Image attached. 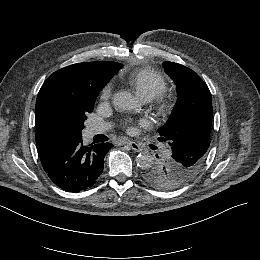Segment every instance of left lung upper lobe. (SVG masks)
<instances>
[{"label":"left lung upper lobe","instance_id":"left-lung-upper-lobe-1","mask_svg":"<svg viewBox=\"0 0 260 260\" xmlns=\"http://www.w3.org/2000/svg\"><path fill=\"white\" fill-rule=\"evenodd\" d=\"M163 66L178 93L168 121L158 129L161 138L169 141L172 155L145 168L142 177L153 187L170 190L192 179L206 160L212 100L208 86L193 70L169 61Z\"/></svg>","mask_w":260,"mask_h":260}]
</instances>
